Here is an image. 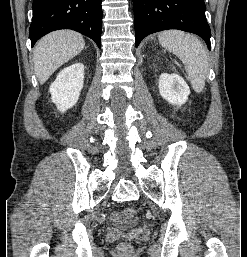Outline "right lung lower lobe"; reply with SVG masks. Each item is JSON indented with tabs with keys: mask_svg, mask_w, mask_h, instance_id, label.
Returning <instances> with one entry per match:
<instances>
[{
	"mask_svg": "<svg viewBox=\"0 0 247 257\" xmlns=\"http://www.w3.org/2000/svg\"><path fill=\"white\" fill-rule=\"evenodd\" d=\"M102 0H34L29 37L32 46L45 34L72 29L101 47Z\"/></svg>",
	"mask_w": 247,
	"mask_h": 257,
	"instance_id": "1",
	"label": "right lung lower lobe"
}]
</instances>
